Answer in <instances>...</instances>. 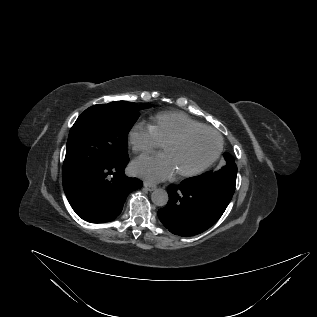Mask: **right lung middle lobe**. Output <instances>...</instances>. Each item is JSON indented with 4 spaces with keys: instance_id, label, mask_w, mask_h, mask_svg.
I'll use <instances>...</instances> for the list:
<instances>
[{
    "instance_id": "right-lung-middle-lobe-1",
    "label": "right lung middle lobe",
    "mask_w": 317,
    "mask_h": 317,
    "mask_svg": "<svg viewBox=\"0 0 317 317\" xmlns=\"http://www.w3.org/2000/svg\"><path fill=\"white\" fill-rule=\"evenodd\" d=\"M151 106L116 101L86 109L70 130L63 176L128 157L127 135L138 110Z\"/></svg>"
}]
</instances>
